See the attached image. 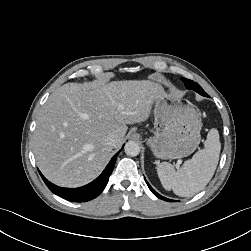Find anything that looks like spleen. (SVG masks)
I'll use <instances>...</instances> for the list:
<instances>
[{"label": "spleen", "instance_id": "3e777b00", "mask_svg": "<svg viewBox=\"0 0 251 251\" xmlns=\"http://www.w3.org/2000/svg\"><path fill=\"white\" fill-rule=\"evenodd\" d=\"M221 143L218 130L209 131L204 142V148L184 162L181 168L175 170L168 162L157 165L159 179L166 190L180 197H190L200 192L211 180L216 170Z\"/></svg>", "mask_w": 251, "mask_h": 251}]
</instances>
